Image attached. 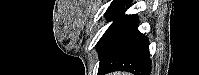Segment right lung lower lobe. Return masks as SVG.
<instances>
[{
	"instance_id": "98d812e1",
	"label": "right lung lower lobe",
	"mask_w": 199,
	"mask_h": 75,
	"mask_svg": "<svg viewBox=\"0 0 199 75\" xmlns=\"http://www.w3.org/2000/svg\"><path fill=\"white\" fill-rule=\"evenodd\" d=\"M131 1L128 2V5ZM125 9L106 31L97 48L100 56L98 75L112 71H128L135 75H150L149 41L141 34L136 15H124Z\"/></svg>"
}]
</instances>
